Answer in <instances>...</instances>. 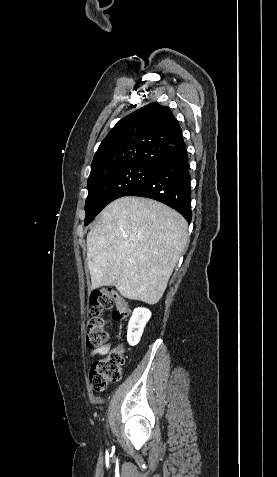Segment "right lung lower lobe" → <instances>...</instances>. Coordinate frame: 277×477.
<instances>
[{
    "label": "right lung lower lobe",
    "mask_w": 277,
    "mask_h": 477,
    "mask_svg": "<svg viewBox=\"0 0 277 477\" xmlns=\"http://www.w3.org/2000/svg\"><path fill=\"white\" fill-rule=\"evenodd\" d=\"M186 147L156 166L154 172L127 196L146 197L162 202L191 222V189Z\"/></svg>",
    "instance_id": "right-lung-lower-lobe-1"
}]
</instances>
